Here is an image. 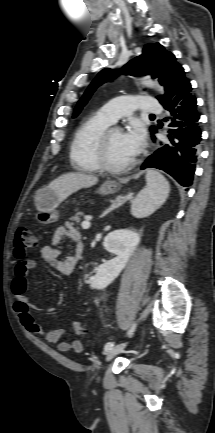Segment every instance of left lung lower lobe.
Segmentation results:
<instances>
[{"mask_svg":"<svg viewBox=\"0 0 215 433\" xmlns=\"http://www.w3.org/2000/svg\"><path fill=\"white\" fill-rule=\"evenodd\" d=\"M191 91V84L184 77L161 102L172 116L168 118L171 120L165 132L168 141L160 142L158 149L141 166V169L163 170L184 187L192 184L201 141L200 115Z\"/></svg>","mask_w":215,"mask_h":433,"instance_id":"obj_1","label":"left lung lower lobe"}]
</instances>
